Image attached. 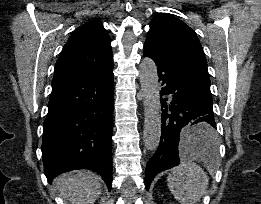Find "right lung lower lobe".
I'll return each mask as SVG.
<instances>
[{
  "mask_svg": "<svg viewBox=\"0 0 261 204\" xmlns=\"http://www.w3.org/2000/svg\"><path fill=\"white\" fill-rule=\"evenodd\" d=\"M113 63L52 83L42 157L49 182L60 173L91 169L112 186Z\"/></svg>",
  "mask_w": 261,
  "mask_h": 204,
  "instance_id": "1",
  "label": "right lung lower lobe"
}]
</instances>
